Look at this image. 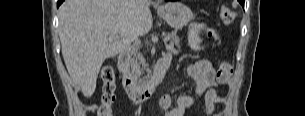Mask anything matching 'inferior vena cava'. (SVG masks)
Masks as SVG:
<instances>
[{
  "label": "inferior vena cava",
  "instance_id": "obj_1",
  "mask_svg": "<svg viewBox=\"0 0 305 116\" xmlns=\"http://www.w3.org/2000/svg\"><path fill=\"white\" fill-rule=\"evenodd\" d=\"M138 2H139V0H133V6H135L136 3H138Z\"/></svg>",
  "mask_w": 305,
  "mask_h": 116
}]
</instances>
